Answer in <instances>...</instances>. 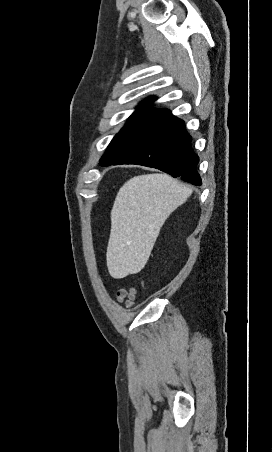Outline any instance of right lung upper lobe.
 Listing matches in <instances>:
<instances>
[{
	"instance_id": "1",
	"label": "right lung upper lobe",
	"mask_w": 272,
	"mask_h": 452,
	"mask_svg": "<svg viewBox=\"0 0 272 452\" xmlns=\"http://www.w3.org/2000/svg\"><path fill=\"white\" fill-rule=\"evenodd\" d=\"M155 99H146L143 102H141L140 108L134 112V114H155V115H165L170 114L169 110L162 109V110H149V107L147 105L151 104Z\"/></svg>"
}]
</instances>
